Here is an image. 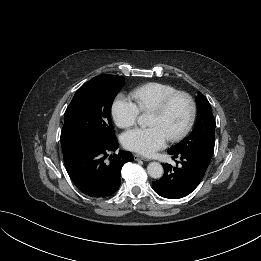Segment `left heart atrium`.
<instances>
[{
  "mask_svg": "<svg viewBox=\"0 0 261 261\" xmlns=\"http://www.w3.org/2000/svg\"><path fill=\"white\" fill-rule=\"evenodd\" d=\"M169 136L160 126L147 128H135L126 132L122 137V143L128 150L150 156L162 149Z\"/></svg>",
  "mask_w": 261,
  "mask_h": 261,
  "instance_id": "1",
  "label": "left heart atrium"
}]
</instances>
